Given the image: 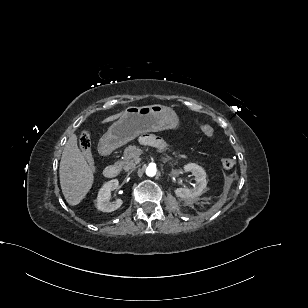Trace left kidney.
Returning a JSON list of instances; mask_svg holds the SVG:
<instances>
[{"instance_id":"5707ae66","label":"left kidney","mask_w":308,"mask_h":308,"mask_svg":"<svg viewBox=\"0 0 308 308\" xmlns=\"http://www.w3.org/2000/svg\"><path fill=\"white\" fill-rule=\"evenodd\" d=\"M183 168L185 172L191 171L193 173V175L195 176L196 184L191 189L189 188L175 189L174 192L176 196L181 199H190L200 196L204 192L207 185L206 172L202 167H200L195 163L186 164L184 165Z\"/></svg>"}]
</instances>
